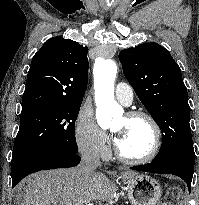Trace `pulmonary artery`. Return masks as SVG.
Segmentation results:
<instances>
[{"mask_svg": "<svg viewBox=\"0 0 199 205\" xmlns=\"http://www.w3.org/2000/svg\"><path fill=\"white\" fill-rule=\"evenodd\" d=\"M133 95V89L129 84L120 82L116 85L115 96L123 105H130L133 101Z\"/></svg>", "mask_w": 199, "mask_h": 205, "instance_id": "e3ab8cb5", "label": "pulmonary artery"}]
</instances>
